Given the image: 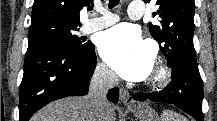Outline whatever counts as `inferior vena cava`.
I'll return each instance as SVG.
<instances>
[{
	"mask_svg": "<svg viewBox=\"0 0 217 121\" xmlns=\"http://www.w3.org/2000/svg\"><path fill=\"white\" fill-rule=\"evenodd\" d=\"M117 83L118 77L112 70L104 65L96 67L86 96L89 103V121L105 120L106 107L110 106L106 100V94Z\"/></svg>",
	"mask_w": 217,
	"mask_h": 121,
	"instance_id": "inferior-vena-cava-1",
	"label": "inferior vena cava"
}]
</instances>
